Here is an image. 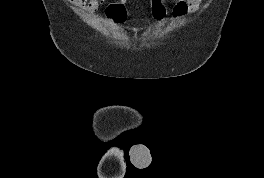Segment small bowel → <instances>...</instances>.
Returning <instances> with one entry per match:
<instances>
[{
    "instance_id": "obj_1",
    "label": "small bowel",
    "mask_w": 264,
    "mask_h": 178,
    "mask_svg": "<svg viewBox=\"0 0 264 178\" xmlns=\"http://www.w3.org/2000/svg\"><path fill=\"white\" fill-rule=\"evenodd\" d=\"M203 0H175L169 19L178 20L188 14L193 13L202 3ZM74 4L82 7L86 12L93 13L105 5L106 0H73Z\"/></svg>"
}]
</instances>
